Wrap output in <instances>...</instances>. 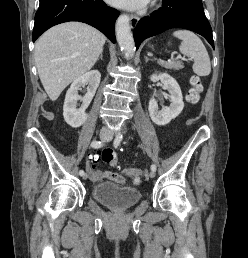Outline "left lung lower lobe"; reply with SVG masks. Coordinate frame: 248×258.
I'll list each match as a JSON object with an SVG mask.
<instances>
[{
  "mask_svg": "<svg viewBox=\"0 0 248 258\" xmlns=\"http://www.w3.org/2000/svg\"><path fill=\"white\" fill-rule=\"evenodd\" d=\"M171 28H184L202 35L214 48L211 26L205 16L201 0H163V7L140 19L134 30L138 49L151 36Z\"/></svg>",
  "mask_w": 248,
  "mask_h": 258,
  "instance_id": "0a47b994",
  "label": "left lung lower lobe"
}]
</instances>
